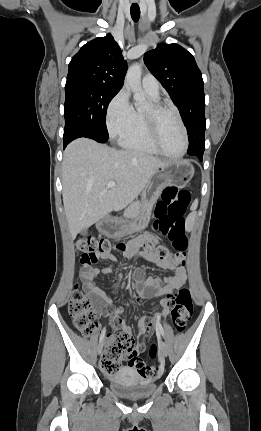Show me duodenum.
Here are the masks:
<instances>
[{
  "label": "duodenum",
  "mask_w": 261,
  "mask_h": 431,
  "mask_svg": "<svg viewBox=\"0 0 261 431\" xmlns=\"http://www.w3.org/2000/svg\"><path fill=\"white\" fill-rule=\"evenodd\" d=\"M110 223H111V221L109 220V219H106V220H102L101 222H100V226L102 227V228H104V229H106V230H110Z\"/></svg>",
  "instance_id": "1"
}]
</instances>
